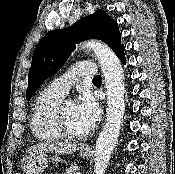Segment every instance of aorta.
Here are the masks:
<instances>
[{"label": "aorta", "instance_id": "aorta-1", "mask_svg": "<svg viewBox=\"0 0 175 174\" xmlns=\"http://www.w3.org/2000/svg\"><path fill=\"white\" fill-rule=\"evenodd\" d=\"M83 48L95 53L105 80L108 107L105 124L96 141L94 158V173L104 174L117 143L124 115L123 69L120 60L107 45L97 40H89L83 43Z\"/></svg>", "mask_w": 175, "mask_h": 174}]
</instances>
